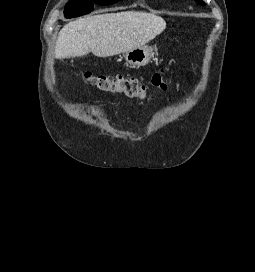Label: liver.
<instances>
[{
  "mask_svg": "<svg viewBox=\"0 0 255 272\" xmlns=\"http://www.w3.org/2000/svg\"><path fill=\"white\" fill-rule=\"evenodd\" d=\"M166 28L165 20L153 13L124 11L89 15L71 21L59 32L55 57H97L126 53L145 46Z\"/></svg>",
  "mask_w": 255,
  "mask_h": 272,
  "instance_id": "liver-1",
  "label": "liver"
}]
</instances>
